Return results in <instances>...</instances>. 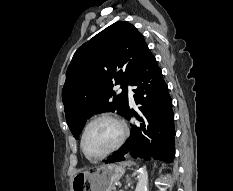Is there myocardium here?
<instances>
[{"instance_id": "1", "label": "myocardium", "mask_w": 233, "mask_h": 191, "mask_svg": "<svg viewBox=\"0 0 233 191\" xmlns=\"http://www.w3.org/2000/svg\"><path fill=\"white\" fill-rule=\"evenodd\" d=\"M99 120H108V121L115 123L119 128V137H118L117 141L112 145V147L109 148L105 153H103L101 155L93 156V155L88 154V152L85 149V136H86V132H87L88 128L94 122L99 121ZM126 137H127V126H126L125 122L112 114L102 113V114L96 115L93 118H91L84 126L82 134H81L80 146H81V150H82L83 154L88 159L101 160V159H104L105 157L109 156L110 154H112L116 150H118L122 146V144L124 143Z\"/></svg>"}]
</instances>
